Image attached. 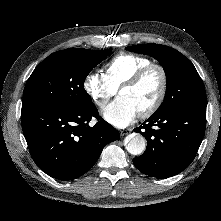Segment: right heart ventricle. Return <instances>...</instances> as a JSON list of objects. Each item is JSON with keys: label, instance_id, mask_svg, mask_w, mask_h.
Instances as JSON below:
<instances>
[{"label": "right heart ventricle", "instance_id": "right-heart-ventricle-1", "mask_svg": "<svg viewBox=\"0 0 221 221\" xmlns=\"http://www.w3.org/2000/svg\"><path fill=\"white\" fill-rule=\"evenodd\" d=\"M150 63H152L151 60L144 56L128 53L119 54L105 64V76L118 89L136 71Z\"/></svg>", "mask_w": 221, "mask_h": 221}]
</instances>
